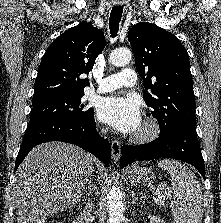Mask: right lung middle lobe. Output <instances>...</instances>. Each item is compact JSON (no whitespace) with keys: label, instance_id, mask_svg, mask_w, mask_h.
Instances as JSON below:
<instances>
[{"label":"right lung middle lobe","instance_id":"1","mask_svg":"<svg viewBox=\"0 0 221 223\" xmlns=\"http://www.w3.org/2000/svg\"><path fill=\"white\" fill-rule=\"evenodd\" d=\"M83 96L84 93H79L32 102L33 108L28 125L51 118L84 120L93 116V108H86L82 104Z\"/></svg>","mask_w":221,"mask_h":223}]
</instances>
